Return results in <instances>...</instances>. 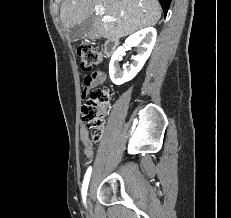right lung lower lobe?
<instances>
[{
    "label": "right lung lower lobe",
    "mask_w": 231,
    "mask_h": 218,
    "mask_svg": "<svg viewBox=\"0 0 231 218\" xmlns=\"http://www.w3.org/2000/svg\"><path fill=\"white\" fill-rule=\"evenodd\" d=\"M162 6V9L164 11V15L166 16L167 14V11L169 9V6H170V3H171V0H158Z\"/></svg>",
    "instance_id": "obj_1"
}]
</instances>
